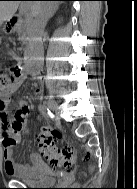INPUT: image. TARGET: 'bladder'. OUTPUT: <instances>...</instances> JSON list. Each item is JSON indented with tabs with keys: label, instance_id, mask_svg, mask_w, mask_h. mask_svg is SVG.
Returning <instances> with one entry per match:
<instances>
[{
	"label": "bladder",
	"instance_id": "bladder-1",
	"mask_svg": "<svg viewBox=\"0 0 137 189\" xmlns=\"http://www.w3.org/2000/svg\"><path fill=\"white\" fill-rule=\"evenodd\" d=\"M19 180L29 184L52 185L57 176L48 166L40 165L32 168L28 175H15Z\"/></svg>",
	"mask_w": 137,
	"mask_h": 189
}]
</instances>
